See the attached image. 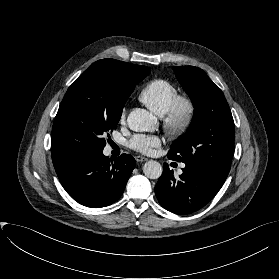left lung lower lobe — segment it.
Listing matches in <instances>:
<instances>
[{
	"label": "left lung lower lobe",
	"instance_id": "left-lung-lower-lobe-1",
	"mask_svg": "<svg viewBox=\"0 0 279 279\" xmlns=\"http://www.w3.org/2000/svg\"><path fill=\"white\" fill-rule=\"evenodd\" d=\"M176 179L167 164L155 186L160 205L175 214H189L208 204L225 180L211 171L186 166Z\"/></svg>",
	"mask_w": 279,
	"mask_h": 279
}]
</instances>
